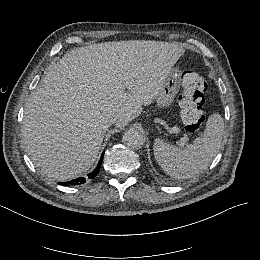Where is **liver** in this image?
Masks as SVG:
<instances>
[{"label": "liver", "instance_id": "1", "mask_svg": "<svg viewBox=\"0 0 260 260\" xmlns=\"http://www.w3.org/2000/svg\"><path fill=\"white\" fill-rule=\"evenodd\" d=\"M182 47L157 41L93 44L71 50L30 95L21 136L36 167L60 181L95 161L109 117L125 127L156 100ZM127 90V91H126Z\"/></svg>", "mask_w": 260, "mask_h": 260}]
</instances>
